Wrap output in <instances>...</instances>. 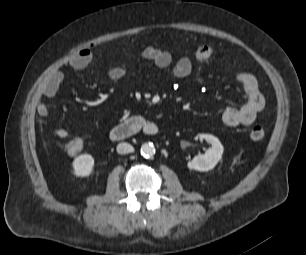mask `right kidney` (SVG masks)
Here are the masks:
<instances>
[{
    "label": "right kidney",
    "mask_w": 306,
    "mask_h": 255,
    "mask_svg": "<svg viewBox=\"0 0 306 255\" xmlns=\"http://www.w3.org/2000/svg\"><path fill=\"white\" fill-rule=\"evenodd\" d=\"M74 174L78 177H87L92 173L94 158L89 154L76 157L72 163Z\"/></svg>",
    "instance_id": "obj_1"
}]
</instances>
